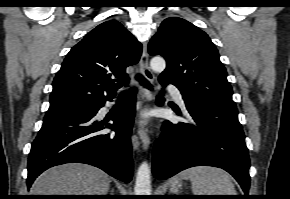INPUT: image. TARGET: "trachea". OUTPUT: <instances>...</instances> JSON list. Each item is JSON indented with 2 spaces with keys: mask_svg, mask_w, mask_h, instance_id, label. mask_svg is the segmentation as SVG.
<instances>
[{
  "mask_svg": "<svg viewBox=\"0 0 290 199\" xmlns=\"http://www.w3.org/2000/svg\"><path fill=\"white\" fill-rule=\"evenodd\" d=\"M136 79L139 81V83L143 87L148 88V89H152L151 84L141 74H137Z\"/></svg>",
  "mask_w": 290,
  "mask_h": 199,
  "instance_id": "obj_1",
  "label": "trachea"
}]
</instances>
